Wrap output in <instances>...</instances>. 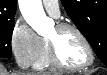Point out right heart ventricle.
<instances>
[{
	"instance_id": "right-heart-ventricle-1",
	"label": "right heart ventricle",
	"mask_w": 107,
	"mask_h": 75,
	"mask_svg": "<svg viewBox=\"0 0 107 75\" xmlns=\"http://www.w3.org/2000/svg\"><path fill=\"white\" fill-rule=\"evenodd\" d=\"M33 67L36 70H48L52 68L49 60L47 40L42 39V47Z\"/></svg>"
}]
</instances>
